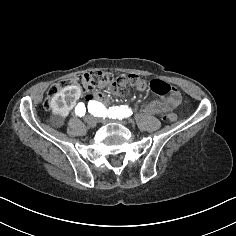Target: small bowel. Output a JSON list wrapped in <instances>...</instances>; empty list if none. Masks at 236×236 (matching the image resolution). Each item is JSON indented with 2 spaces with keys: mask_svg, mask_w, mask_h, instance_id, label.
I'll use <instances>...</instances> for the list:
<instances>
[{
  "mask_svg": "<svg viewBox=\"0 0 236 236\" xmlns=\"http://www.w3.org/2000/svg\"><path fill=\"white\" fill-rule=\"evenodd\" d=\"M179 99L169 98L165 101H153L149 103L145 111L150 115H157L172 110L178 103Z\"/></svg>",
  "mask_w": 236,
  "mask_h": 236,
  "instance_id": "1",
  "label": "small bowel"
}]
</instances>
